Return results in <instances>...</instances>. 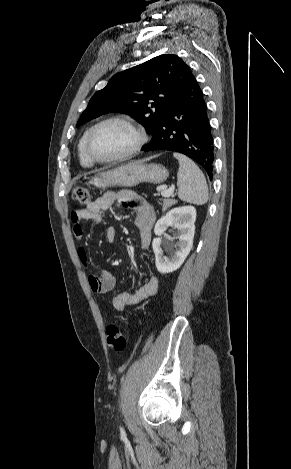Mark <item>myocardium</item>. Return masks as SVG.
I'll use <instances>...</instances> for the list:
<instances>
[{"instance_id": "myocardium-1", "label": "myocardium", "mask_w": 291, "mask_h": 469, "mask_svg": "<svg viewBox=\"0 0 291 469\" xmlns=\"http://www.w3.org/2000/svg\"><path fill=\"white\" fill-rule=\"evenodd\" d=\"M112 122L123 123L127 125L128 127H130L136 134V137H137L136 142L130 150H128L127 152L123 154H120L118 156L111 157V158H99L95 156L91 150L92 136L99 127L108 123H112ZM147 139L148 137H147V133L145 129L139 123H137L134 119L128 116H124V115H116V116H111V117L101 120L100 122L96 123L94 126H92L88 130L86 138H85L84 149H85V153L87 157L94 163H100V164L115 163V162L126 160L134 156L135 154H137L146 144Z\"/></svg>"}]
</instances>
